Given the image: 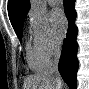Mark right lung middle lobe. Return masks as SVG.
<instances>
[{
    "label": "right lung middle lobe",
    "instance_id": "right-lung-middle-lobe-1",
    "mask_svg": "<svg viewBox=\"0 0 89 89\" xmlns=\"http://www.w3.org/2000/svg\"><path fill=\"white\" fill-rule=\"evenodd\" d=\"M15 32L19 38V40H22V33H23V22L18 26L17 29H15Z\"/></svg>",
    "mask_w": 89,
    "mask_h": 89
}]
</instances>
